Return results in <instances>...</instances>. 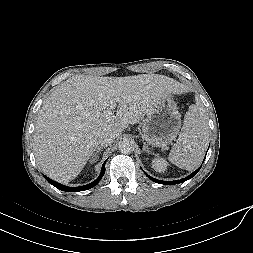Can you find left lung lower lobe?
<instances>
[{
	"mask_svg": "<svg viewBox=\"0 0 253 253\" xmlns=\"http://www.w3.org/2000/svg\"><path fill=\"white\" fill-rule=\"evenodd\" d=\"M200 168H201V166L197 170H195L193 173H191L189 176H187V177H185L181 180H176V181H161V180H157V179L149 176L146 172H144V173L149 177V179H151L152 181H154L156 183L165 184V185H167V184H179V183H183V182L191 179L193 176H195L196 173L200 170Z\"/></svg>",
	"mask_w": 253,
	"mask_h": 253,
	"instance_id": "1",
	"label": "left lung lower lobe"
}]
</instances>
